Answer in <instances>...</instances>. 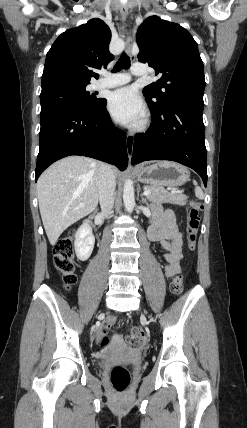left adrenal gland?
<instances>
[{
  "label": "left adrenal gland",
  "instance_id": "left-adrenal-gland-1",
  "mask_svg": "<svg viewBox=\"0 0 247 428\" xmlns=\"http://www.w3.org/2000/svg\"><path fill=\"white\" fill-rule=\"evenodd\" d=\"M141 201H142V203H145L146 205H148V201H147V199L143 196V194H141Z\"/></svg>",
  "mask_w": 247,
  "mask_h": 428
}]
</instances>
